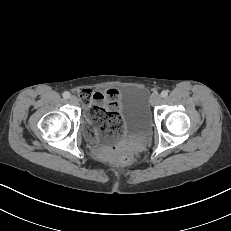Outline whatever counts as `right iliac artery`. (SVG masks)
I'll return each mask as SVG.
<instances>
[{
  "label": "right iliac artery",
  "mask_w": 231,
  "mask_h": 231,
  "mask_svg": "<svg viewBox=\"0 0 231 231\" xmlns=\"http://www.w3.org/2000/svg\"><path fill=\"white\" fill-rule=\"evenodd\" d=\"M63 97H64L65 99L70 98V93H69L68 91H65V92L63 93Z\"/></svg>",
  "instance_id": "obj_1"
}]
</instances>
